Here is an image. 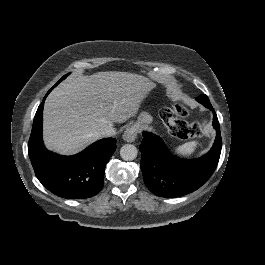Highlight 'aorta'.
<instances>
[{
    "mask_svg": "<svg viewBox=\"0 0 265 265\" xmlns=\"http://www.w3.org/2000/svg\"><path fill=\"white\" fill-rule=\"evenodd\" d=\"M137 148L132 144H125L120 149V156L125 161H132L137 157Z\"/></svg>",
    "mask_w": 265,
    "mask_h": 265,
    "instance_id": "762f6f07",
    "label": "aorta"
}]
</instances>
